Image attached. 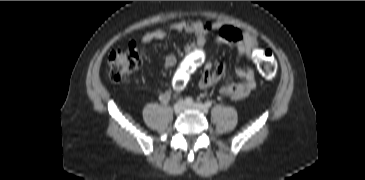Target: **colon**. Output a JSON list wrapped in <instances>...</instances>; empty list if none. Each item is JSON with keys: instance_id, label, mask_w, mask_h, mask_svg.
<instances>
[{"instance_id": "5ec220e1", "label": "colon", "mask_w": 365, "mask_h": 180, "mask_svg": "<svg viewBox=\"0 0 365 180\" xmlns=\"http://www.w3.org/2000/svg\"><path fill=\"white\" fill-rule=\"evenodd\" d=\"M255 64L266 79L276 76V60L269 50H258L254 54ZM140 49L136 42H132L126 49H115L108 56L109 79L112 82H123L141 65Z\"/></svg>"}]
</instances>
